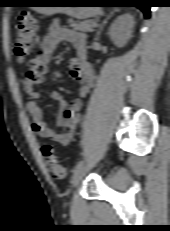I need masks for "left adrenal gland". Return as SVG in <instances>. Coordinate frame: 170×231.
<instances>
[{"instance_id":"1","label":"left adrenal gland","mask_w":170,"mask_h":231,"mask_svg":"<svg viewBox=\"0 0 170 231\" xmlns=\"http://www.w3.org/2000/svg\"><path fill=\"white\" fill-rule=\"evenodd\" d=\"M112 15H113V12H112L110 15H108L107 18L103 21L102 26L100 27V29L98 30V32H97V34H96L97 38L99 37V35H100V33H101V30H102V28H103V25H105V24L107 23V20H108Z\"/></svg>"}]
</instances>
